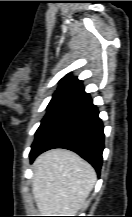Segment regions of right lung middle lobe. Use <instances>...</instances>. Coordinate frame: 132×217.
<instances>
[{"mask_svg":"<svg viewBox=\"0 0 132 217\" xmlns=\"http://www.w3.org/2000/svg\"><path fill=\"white\" fill-rule=\"evenodd\" d=\"M76 99L75 96L69 94L55 93L47 107V114L43 118L40 127L35 133V141L41 136L48 124L55 116L64 109L67 105ZM34 141V142H35Z\"/></svg>","mask_w":132,"mask_h":217,"instance_id":"right-lung-middle-lobe-1","label":"right lung middle lobe"}]
</instances>
